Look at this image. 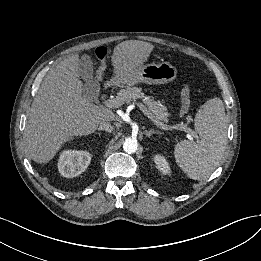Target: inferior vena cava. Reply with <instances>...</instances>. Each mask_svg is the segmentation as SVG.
Segmentation results:
<instances>
[{
  "label": "inferior vena cava",
  "mask_w": 261,
  "mask_h": 261,
  "mask_svg": "<svg viewBox=\"0 0 261 261\" xmlns=\"http://www.w3.org/2000/svg\"><path fill=\"white\" fill-rule=\"evenodd\" d=\"M113 126L109 122H101L99 125V130H104L107 132H112L113 131Z\"/></svg>",
  "instance_id": "inferior-vena-cava-1"
}]
</instances>
